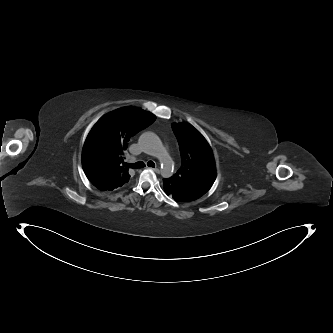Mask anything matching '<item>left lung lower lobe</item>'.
I'll return each instance as SVG.
<instances>
[{
    "mask_svg": "<svg viewBox=\"0 0 333 333\" xmlns=\"http://www.w3.org/2000/svg\"><path fill=\"white\" fill-rule=\"evenodd\" d=\"M163 188H164L165 193L168 195V192H169V189H168V188H169V184H168L167 179H163ZM168 196H172L173 199L176 200V201L184 202V201H182L181 199H179V198L176 197V196H173V195H168Z\"/></svg>",
    "mask_w": 333,
    "mask_h": 333,
    "instance_id": "0a47b994",
    "label": "left lung lower lobe"
}]
</instances>
